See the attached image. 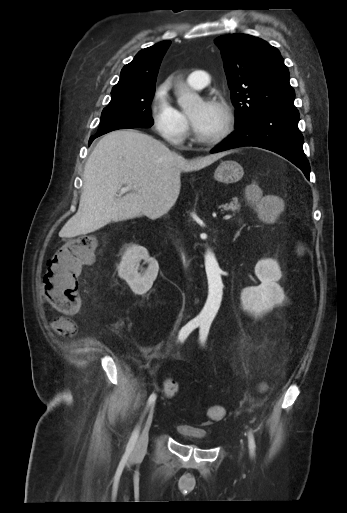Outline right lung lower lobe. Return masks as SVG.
Instances as JSON below:
<instances>
[{
  "mask_svg": "<svg viewBox=\"0 0 347 513\" xmlns=\"http://www.w3.org/2000/svg\"><path fill=\"white\" fill-rule=\"evenodd\" d=\"M99 136H101V135H97V134H96V135L92 136V137L90 138V140H89V144H91V143H92V141H93L95 138L99 137Z\"/></svg>",
  "mask_w": 347,
  "mask_h": 513,
  "instance_id": "1",
  "label": "right lung lower lobe"
}]
</instances>
